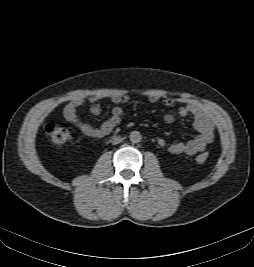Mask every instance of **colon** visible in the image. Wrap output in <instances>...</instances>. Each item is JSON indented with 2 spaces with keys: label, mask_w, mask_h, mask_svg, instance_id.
<instances>
[{
  "label": "colon",
  "mask_w": 254,
  "mask_h": 267,
  "mask_svg": "<svg viewBox=\"0 0 254 267\" xmlns=\"http://www.w3.org/2000/svg\"><path fill=\"white\" fill-rule=\"evenodd\" d=\"M46 133L50 141L59 149L64 148L74 136L71 128L64 124H49L46 127ZM207 160L208 154L206 152L200 153L196 157L198 163H204Z\"/></svg>",
  "instance_id": "1"
}]
</instances>
